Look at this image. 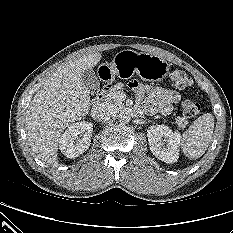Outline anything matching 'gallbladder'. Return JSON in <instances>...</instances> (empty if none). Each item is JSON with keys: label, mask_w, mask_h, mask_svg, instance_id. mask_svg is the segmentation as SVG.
<instances>
[{"label": "gallbladder", "mask_w": 233, "mask_h": 233, "mask_svg": "<svg viewBox=\"0 0 233 233\" xmlns=\"http://www.w3.org/2000/svg\"><path fill=\"white\" fill-rule=\"evenodd\" d=\"M82 82L90 93L94 94L99 91L100 83L92 68L87 69L82 73Z\"/></svg>", "instance_id": "bac80fb5"}]
</instances>
